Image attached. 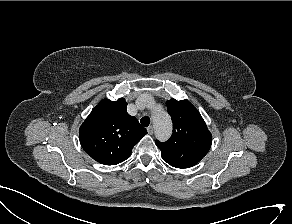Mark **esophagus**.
<instances>
[{
    "label": "esophagus",
    "mask_w": 292,
    "mask_h": 224,
    "mask_svg": "<svg viewBox=\"0 0 292 224\" xmlns=\"http://www.w3.org/2000/svg\"><path fill=\"white\" fill-rule=\"evenodd\" d=\"M147 132H148L149 135H152V134L154 133V128H153V126H149V127L147 128Z\"/></svg>",
    "instance_id": "esophagus-1"
}]
</instances>
